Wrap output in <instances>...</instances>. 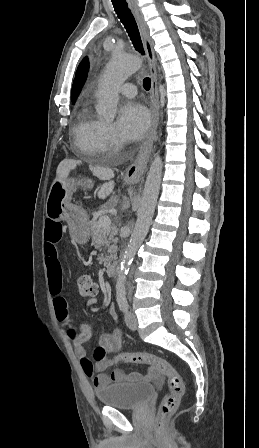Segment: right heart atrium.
<instances>
[{"label":"right heart atrium","mask_w":259,"mask_h":448,"mask_svg":"<svg viewBox=\"0 0 259 448\" xmlns=\"http://www.w3.org/2000/svg\"><path fill=\"white\" fill-rule=\"evenodd\" d=\"M99 146V151L103 155H111L112 153L118 151L122 146L119 135L109 123H102L99 134Z\"/></svg>","instance_id":"d8ad5b80"}]
</instances>
